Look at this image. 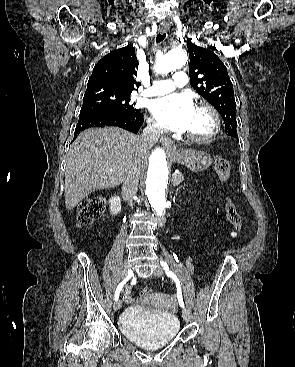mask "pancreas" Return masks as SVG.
Here are the masks:
<instances>
[{
  "mask_svg": "<svg viewBox=\"0 0 295 367\" xmlns=\"http://www.w3.org/2000/svg\"><path fill=\"white\" fill-rule=\"evenodd\" d=\"M184 180V176L182 175V173H178V174H173V185L177 186L179 185L182 181Z\"/></svg>",
  "mask_w": 295,
  "mask_h": 367,
  "instance_id": "1",
  "label": "pancreas"
}]
</instances>
